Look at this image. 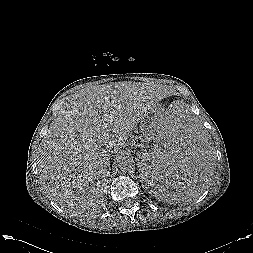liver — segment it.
Instances as JSON below:
<instances>
[{
	"label": "liver",
	"instance_id": "1",
	"mask_svg": "<svg viewBox=\"0 0 253 253\" xmlns=\"http://www.w3.org/2000/svg\"><path fill=\"white\" fill-rule=\"evenodd\" d=\"M165 92L162 85L121 82L75 93L41 143L38 167L51 199L78 214L105 208L113 153Z\"/></svg>",
	"mask_w": 253,
	"mask_h": 253
}]
</instances>
